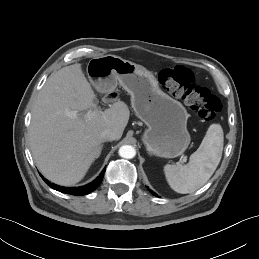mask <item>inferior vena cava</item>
Wrapping results in <instances>:
<instances>
[{"label": "inferior vena cava", "instance_id": "602c4592", "mask_svg": "<svg viewBox=\"0 0 259 259\" xmlns=\"http://www.w3.org/2000/svg\"><path fill=\"white\" fill-rule=\"evenodd\" d=\"M118 138L117 133L114 130L111 129H105L101 133V139L103 141H113Z\"/></svg>", "mask_w": 259, "mask_h": 259}]
</instances>
